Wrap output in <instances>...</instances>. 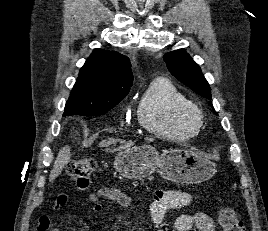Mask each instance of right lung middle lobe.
Wrapping results in <instances>:
<instances>
[{
	"mask_svg": "<svg viewBox=\"0 0 268 231\" xmlns=\"http://www.w3.org/2000/svg\"><path fill=\"white\" fill-rule=\"evenodd\" d=\"M121 100L107 101L95 105H80L78 103L69 102L66 103L63 116L69 115H82V116H99L105 114L114 106H116Z\"/></svg>",
	"mask_w": 268,
	"mask_h": 231,
	"instance_id": "obj_1",
	"label": "right lung middle lobe"
}]
</instances>
